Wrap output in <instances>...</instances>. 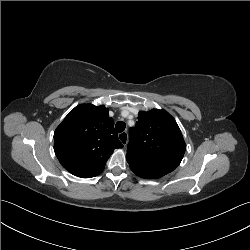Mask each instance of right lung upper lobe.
Here are the masks:
<instances>
[{"instance_id": "1", "label": "right lung upper lobe", "mask_w": 250, "mask_h": 250, "mask_svg": "<svg viewBox=\"0 0 250 250\" xmlns=\"http://www.w3.org/2000/svg\"><path fill=\"white\" fill-rule=\"evenodd\" d=\"M108 111L104 105H79L55 130V154L71 174L81 178L99 175L114 149L123 147Z\"/></svg>"}]
</instances>
